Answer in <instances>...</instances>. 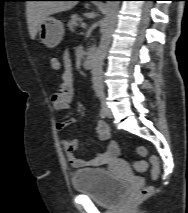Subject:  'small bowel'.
<instances>
[{
  "label": "small bowel",
  "mask_w": 188,
  "mask_h": 213,
  "mask_svg": "<svg viewBox=\"0 0 188 213\" xmlns=\"http://www.w3.org/2000/svg\"><path fill=\"white\" fill-rule=\"evenodd\" d=\"M64 72L60 76L58 90L52 95V104L55 111H64L69 107L72 99L74 86L72 61L69 52L63 55ZM76 122L74 117L68 118L57 123V128L63 130L65 127ZM95 129L97 138L100 141H108L111 138V131L107 123L102 120L95 121ZM62 145L68 162L74 168H86L100 166L106 163H113L117 160L119 149L116 142L111 141L107 150L91 159H81L76 156L75 152L79 148V140L77 138L66 139L62 141Z\"/></svg>",
  "instance_id": "obj_1"
}]
</instances>
